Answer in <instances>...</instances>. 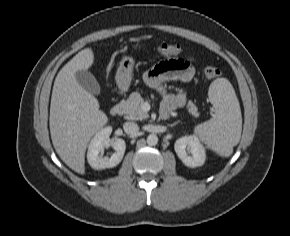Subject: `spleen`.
<instances>
[{
    "instance_id": "1",
    "label": "spleen",
    "mask_w": 290,
    "mask_h": 236,
    "mask_svg": "<svg viewBox=\"0 0 290 236\" xmlns=\"http://www.w3.org/2000/svg\"><path fill=\"white\" fill-rule=\"evenodd\" d=\"M214 106L212 119L197 125L195 134L208 148L222 157H229L240 141L242 116L239 101L231 83L225 78L214 80L208 91Z\"/></svg>"
}]
</instances>
